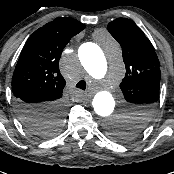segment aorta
Listing matches in <instances>:
<instances>
[{
    "label": "aorta",
    "instance_id": "1",
    "mask_svg": "<svg viewBox=\"0 0 174 174\" xmlns=\"http://www.w3.org/2000/svg\"><path fill=\"white\" fill-rule=\"evenodd\" d=\"M107 44L105 54L94 43H84L79 47V59L87 73L96 80L104 78L107 71L106 58L113 63L121 59V51L118 45L109 37L106 38ZM93 108L104 128L108 132L118 129L123 123V117L113 114L115 101L109 91H99L93 99Z\"/></svg>",
    "mask_w": 174,
    "mask_h": 174
}]
</instances>
